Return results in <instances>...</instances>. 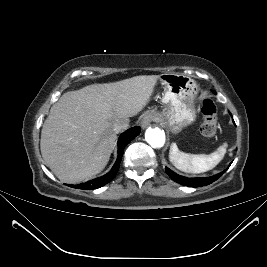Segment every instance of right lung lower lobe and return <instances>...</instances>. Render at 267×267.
<instances>
[{"label":"right lung lower lobe","instance_id":"98d812e1","mask_svg":"<svg viewBox=\"0 0 267 267\" xmlns=\"http://www.w3.org/2000/svg\"><path fill=\"white\" fill-rule=\"evenodd\" d=\"M140 131H141V128L138 126H135L133 128L128 129L127 131H125L124 133L120 135L119 140H118V158L110 172H108L106 175L102 177L93 179L92 181H88L86 183H81L78 185H69V186L78 188V189L89 190V189L100 188L104 186L105 184H107L108 182H110L118 172L125 146L131 140H133L140 133Z\"/></svg>","mask_w":267,"mask_h":267}]
</instances>
